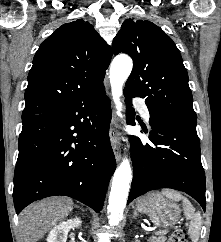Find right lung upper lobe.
I'll return each instance as SVG.
<instances>
[{"label":"right lung upper lobe","mask_w":221,"mask_h":242,"mask_svg":"<svg viewBox=\"0 0 221 242\" xmlns=\"http://www.w3.org/2000/svg\"><path fill=\"white\" fill-rule=\"evenodd\" d=\"M112 50L84 20L63 24L36 52L22 119L61 109L103 84Z\"/></svg>","instance_id":"cb5924a9"}]
</instances>
